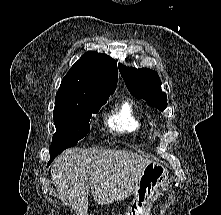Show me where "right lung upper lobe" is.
<instances>
[{
	"label": "right lung upper lobe",
	"instance_id": "1",
	"mask_svg": "<svg viewBox=\"0 0 221 215\" xmlns=\"http://www.w3.org/2000/svg\"><path fill=\"white\" fill-rule=\"evenodd\" d=\"M118 79L115 60L88 51L70 68L56 93L55 106L83 104L108 99Z\"/></svg>",
	"mask_w": 221,
	"mask_h": 215
}]
</instances>
